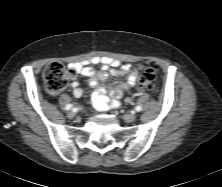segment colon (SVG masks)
<instances>
[{"label": "colon", "mask_w": 222, "mask_h": 187, "mask_svg": "<svg viewBox=\"0 0 222 187\" xmlns=\"http://www.w3.org/2000/svg\"><path fill=\"white\" fill-rule=\"evenodd\" d=\"M156 65L144 63L141 67L139 88L141 90H154ZM43 79L45 88L50 95H56L63 91L68 84L66 70L62 64L53 62L46 66Z\"/></svg>", "instance_id": "5ec220e1"}]
</instances>
